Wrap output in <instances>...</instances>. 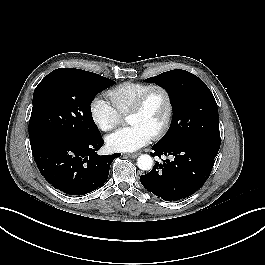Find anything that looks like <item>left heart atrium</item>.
Segmentation results:
<instances>
[{
  "label": "left heart atrium",
  "mask_w": 265,
  "mask_h": 265,
  "mask_svg": "<svg viewBox=\"0 0 265 265\" xmlns=\"http://www.w3.org/2000/svg\"><path fill=\"white\" fill-rule=\"evenodd\" d=\"M152 134L140 125L121 128L106 137L107 147L116 152H133L146 145Z\"/></svg>",
  "instance_id": "obj_1"
}]
</instances>
